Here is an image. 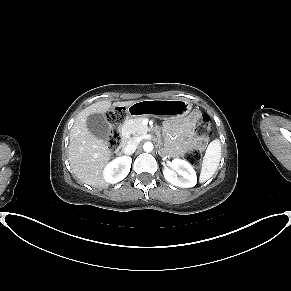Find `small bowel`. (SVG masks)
Segmentation results:
<instances>
[{"instance_id": "c3829d8e", "label": "small bowel", "mask_w": 291, "mask_h": 291, "mask_svg": "<svg viewBox=\"0 0 291 291\" xmlns=\"http://www.w3.org/2000/svg\"><path fill=\"white\" fill-rule=\"evenodd\" d=\"M198 120L199 113L196 110H189L186 113L185 119L172 121L167 124L168 129L178 133L177 153H181L195 144L192 135V126L193 123H196Z\"/></svg>"}]
</instances>
